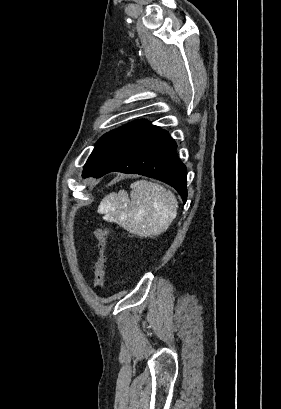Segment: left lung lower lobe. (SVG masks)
<instances>
[{"mask_svg":"<svg viewBox=\"0 0 281 409\" xmlns=\"http://www.w3.org/2000/svg\"><path fill=\"white\" fill-rule=\"evenodd\" d=\"M176 147L168 132L160 129L113 157L92 176L119 171L155 178L173 186L185 203L187 172L176 154Z\"/></svg>","mask_w":281,"mask_h":409,"instance_id":"1","label":"left lung lower lobe"}]
</instances>
